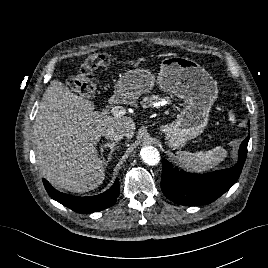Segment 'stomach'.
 Returning <instances> with one entry per match:
<instances>
[{"label":"stomach","instance_id":"0dacf381","mask_svg":"<svg viewBox=\"0 0 268 268\" xmlns=\"http://www.w3.org/2000/svg\"><path fill=\"white\" fill-rule=\"evenodd\" d=\"M155 83L164 91L185 101V106L171 123L160 126L169 147L178 149L203 133L209 113L217 99V83L196 61L185 57H167L155 76L144 68L126 72L117 83V93L126 103L149 93Z\"/></svg>","mask_w":268,"mask_h":268}]
</instances>
